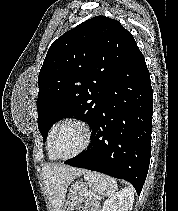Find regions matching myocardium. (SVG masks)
Masks as SVG:
<instances>
[{
	"label": "myocardium",
	"instance_id": "f54148a6",
	"mask_svg": "<svg viewBox=\"0 0 178 211\" xmlns=\"http://www.w3.org/2000/svg\"><path fill=\"white\" fill-rule=\"evenodd\" d=\"M67 124H75L83 129L84 142H83L82 146L80 147V149L78 151H76L75 153L68 155V156H61L57 153V151L55 149V140H56L58 131L63 126H65ZM91 139H92V130H91L90 125L86 121H84L83 119H80V118H75V117L67 118V119L63 120L62 122H60L57 125V127L55 128L53 135H52V140H51V149H52V152H53L54 156L56 157V159L67 160V159L74 158V157L82 154L83 152H85L87 150V148L90 146Z\"/></svg>",
	"mask_w": 178,
	"mask_h": 211
}]
</instances>
